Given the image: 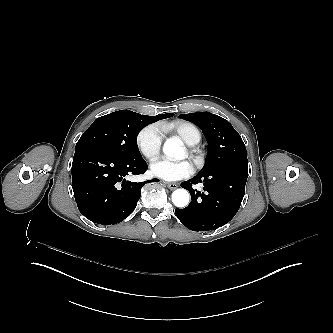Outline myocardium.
<instances>
[{
    "label": "myocardium",
    "mask_w": 333,
    "mask_h": 333,
    "mask_svg": "<svg viewBox=\"0 0 333 333\" xmlns=\"http://www.w3.org/2000/svg\"><path fill=\"white\" fill-rule=\"evenodd\" d=\"M189 157L196 163H201L200 149L197 146L189 147Z\"/></svg>",
    "instance_id": "1"
}]
</instances>
